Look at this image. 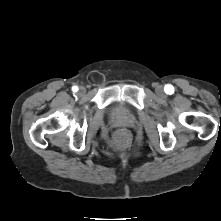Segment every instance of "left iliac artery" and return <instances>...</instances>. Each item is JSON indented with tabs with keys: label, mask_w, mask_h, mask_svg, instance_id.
I'll use <instances>...</instances> for the list:
<instances>
[{
	"label": "left iliac artery",
	"mask_w": 221,
	"mask_h": 221,
	"mask_svg": "<svg viewBox=\"0 0 221 221\" xmlns=\"http://www.w3.org/2000/svg\"><path fill=\"white\" fill-rule=\"evenodd\" d=\"M164 89H165V93H166V94H169V95H170V94H173V93H174V87H173L172 85H169V84H168V85L165 86Z\"/></svg>",
	"instance_id": "left-iliac-artery-1"
}]
</instances>
